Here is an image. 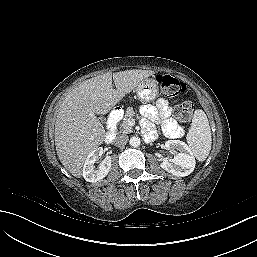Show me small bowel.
<instances>
[{
    "label": "small bowel",
    "instance_id": "1",
    "mask_svg": "<svg viewBox=\"0 0 257 257\" xmlns=\"http://www.w3.org/2000/svg\"><path fill=\"white\" fill-rule=\"evenodd\" d=\"M141 112L152 121L161 123L164 133L170 137L179 136L181 129L171 118V106L166 99L160 98L155 105H144Z\"/></svg>",
    "mask_w": 257,
    "mask_h": 257
}]
</instances>
